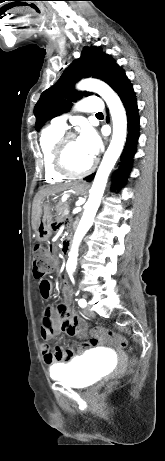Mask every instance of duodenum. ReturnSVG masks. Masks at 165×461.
Segmentation results:
<instances>
[{"mask_svg": "<svg viewBox=\"0 0 165 461\" xmlns=\"http://www.w3.org/2000/svg\"><path fill=\"white\" fill-rule=\"evenodd\" d=\"M70 239H71V236H70V235H67V236L65 237L64 243H65V244H69Z\"/></svg>", "mask_w": 165, "mask_h": 461, "instance_id": "1", "label": "duodenum"}]
</instances>
